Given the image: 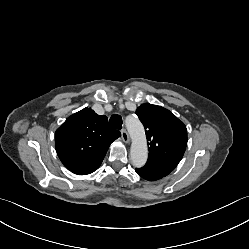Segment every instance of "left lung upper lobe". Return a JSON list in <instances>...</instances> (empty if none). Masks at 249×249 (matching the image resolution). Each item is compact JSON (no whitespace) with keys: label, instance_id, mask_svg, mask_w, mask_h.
Listing matches in <instances>:
<instances>
[{"label":"left lung upper lobe","instance_id":"obj_1","mask_svg":"<svg viewBox=\"0 0 249 249\" xmlns=\"http://www.w3.org/2000/svg\"><path fill=\"white\" fill-rule=\"evenodd\" d=\"M136 114L144 125L149 156L141 169L160 178L170 174L183 157L187 145V129L169 110L149 103L142 104Z\"/></svg>","mask_w":249,"mask_h":249}]
</instances>
